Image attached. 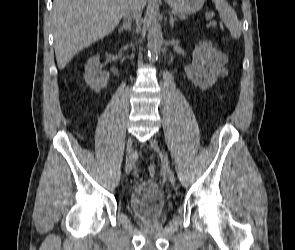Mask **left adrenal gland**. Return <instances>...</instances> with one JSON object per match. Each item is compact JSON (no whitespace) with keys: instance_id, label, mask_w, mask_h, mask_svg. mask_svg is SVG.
Wrapping results in <instances>:
<instances>
[{"instance_id":"a2214340","label":"left adrenal gland","mask_w":295,"mask_h":250,"mask_svg":"<svg viewBox=\"0 0 295 250\" xmlns=\"http://www.w3.org/2000/svg\"><path fill=\"white\" fill-rule=\"evenodd\" d=\"M169 17H170V26L173 27L174 26V22L177 21L175 18H173V15L171 13H169Z\"/></svg>"}]
</instances>
